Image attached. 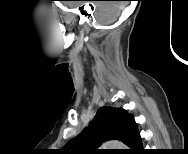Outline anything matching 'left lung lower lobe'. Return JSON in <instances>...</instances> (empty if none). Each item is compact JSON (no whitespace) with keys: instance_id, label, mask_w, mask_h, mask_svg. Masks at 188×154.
Listing matches in <instances>:
<instances>
[{"instance_id":"left-lung-lower-lobe-1","label":"left lung lower lobe","mask_w":188,"mask_h":154,"mask_svg":"<svg viewBox=\"0 0 188 154\" xmlns=\"http://www.w3.org/2000/svg\"><path fill=\"white\" fill-rule=\"evenodd\" d=\"M123 143H125L128 147H130L128 152L141 151L142 150L141 138H140L139 132L137 130V126H136V123L134 121V118H132L130 120V123L128 125L126 138H125Z\"/></svg>"}]
</instances>
